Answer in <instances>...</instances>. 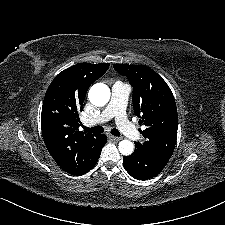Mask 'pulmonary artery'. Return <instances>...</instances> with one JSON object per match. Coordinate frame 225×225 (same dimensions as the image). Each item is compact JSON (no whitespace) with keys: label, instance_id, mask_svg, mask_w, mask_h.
Here are the masks:
<instances>
[{"label":"pulmonary artery","instance_id":"1","mask_svg":"<svg viewBox=\"0 0 225 225\" xmlns=\"http://www.w3.org/2000/svg\"><path fill=\"white\" fill-rule=\"evenodd\" d=\"M130 91V85L116 82L112 87V95L109 104L96 119L86 120L85 124L91 126L96 123L106 122L112 117H115L121 129L126 131L132 139H136L138 137V132L133 128L126 114V104Z\"/></svg>","mask_w":225,"mask_h":225}]
</instances>
